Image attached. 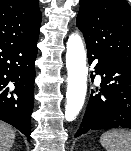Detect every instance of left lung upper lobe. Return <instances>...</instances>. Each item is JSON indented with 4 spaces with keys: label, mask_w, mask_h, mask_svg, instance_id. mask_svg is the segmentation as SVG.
<instances>
[{
    "label": "left lung upper lobe",
    "mask_w": 131,
    "mask_h": 151,
    "mask_svg": "<svg viewBox=\"0 0 131 151\" xmlns=\"http://www.w3.org/2000/svg\"><path fill=\"white\" fill-rule=\"evenodd\" d=\"M77 27L87 47L131 66V7L126 0H80Z\"/></svg>",
    "instance_id": "5c2ea615"
}]
</instances>
